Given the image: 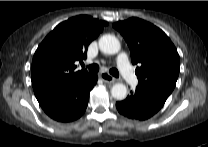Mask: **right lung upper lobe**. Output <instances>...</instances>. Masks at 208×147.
<instances>
[{"label": "right lung upper lobe", "instance_id": "1", "mask_svg": "<svg viewBox=\"0 0 208 147\" xmlns=\"http://www.w3.org/2000/svg\"><path fill=\"white\" fill-rule=\"evenodd\" d=\"M107 25L87 15L57 25L38 46L32 61L31 81L37 100L63 93L89 74L75 71V61L87 57L88 45Z\"/></svg>", "mask_w": 208, "mask_h": 147}]
</instances>
